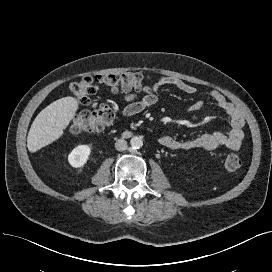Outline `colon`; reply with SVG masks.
<instances>
[{"label":"colon","instance_id":"1","mask_svg":"<svg viewBox=\"0 0 272 272\" xmlns=\"http://www.w3.org/2000/svg\"><path fill=\"white\" fill-rule=\"evenodd\" d=\"M103 85L112 92L150 91L149 78L140 73H120L99 76H85L70 85V91L80 103L90 105L91 110L77 114L69 124L72 133L95 132L111 126L115 119L114 110L106 103L93 101L99 86ZM225 166L230 171L238 170L242 160L235 154L228 155Z\"/></svg>","mask_w":272,"mask_h":272}]
</instances>
